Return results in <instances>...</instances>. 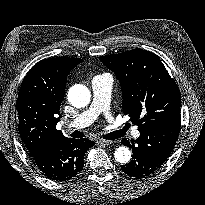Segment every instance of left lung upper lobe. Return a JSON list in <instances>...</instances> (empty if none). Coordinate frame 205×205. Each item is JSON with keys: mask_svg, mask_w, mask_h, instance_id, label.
<instances>
[{"mask_svg": "<svg viewBox=\"0 0 205 205\" xmlns=\"http://www.w3.org/2000/svg\"><path fill=\"white\" fill-rule=\"evenodd\" d=\"M99 59L119 79L123 112L137 124L139 132L180 123L179 89L157 55L133 49Z\"/></svg>", "mask_w": 205, "mask_h": 205, "instance_id": "left-lung-upper-lobe-1", "label": "left lung upper lobe"}]
</instances>
